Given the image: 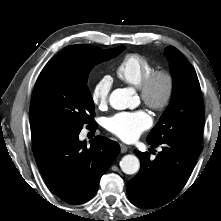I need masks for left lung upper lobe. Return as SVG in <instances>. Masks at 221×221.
Segmentation results:
<instances>
[{
    "label": "left lung upper lobe",
    "instance_id": "left-lung-upper-lobe-1",
    "mask_svg": "<svg viewBox=\"0 0 221 221\" xmlns=\"http://www.w3.org/2000/svg\"><path fill=\"white\" fill-rule=\"evenodd\" d=\"M173 76L171 102L150 131L147 142L159 145L170 140L202 143L205 119L200 84L192 65L175 47L165 48Z\"/></svg>",
    "mask_w": 221,
    "mask_h": 221
}]
</instances>
